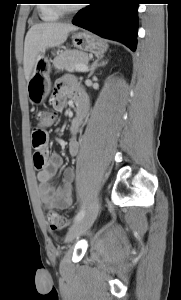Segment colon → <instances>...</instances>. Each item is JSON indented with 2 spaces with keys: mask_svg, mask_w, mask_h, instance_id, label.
Instances as JSON below:
<instances>
[{
  "mask_svg": "<svg viewBox=\"0 0 181 300\" xmlns=\"http://www.w3.org/2000/svg\"><path fill=\"white\" fill-rule=\"evenodd\" d=\"M34 119L37 122V125L32 133V147L35 151V165L36 167L40 168L45 162L43 151L48 142V135L44 128L51 126L55 122L56 115L48 110H38L34 114ZM46 219L49 227L52 230H61L68 225L67 218L63 214H60L56 211L47 212Z\"/></svg>",
  "mask_w": 181,
  "mask_h": 300,
  "instance_id": "obj_1",
  "label": "colon"
}]
</instances>
